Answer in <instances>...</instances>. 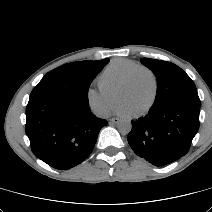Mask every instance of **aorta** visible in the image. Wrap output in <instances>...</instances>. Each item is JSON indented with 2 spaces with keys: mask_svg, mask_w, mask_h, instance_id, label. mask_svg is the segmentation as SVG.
Returning <instances> with one entry per match:
<instances>
[{
  "mask_svg": "<svg viewBox=\"0 0 212 212\" xmlns=\"http://www.w3.org/2000/svg\"><path fill=\"white\" fill-rule=\"evenodd\" d=\"M132 129V124L128 120H124L118 125V130L121 134H128Z\"/></svg>",
  "mask_w": 212,
  "mask_h": 212,
  "instance_id": "762f6f07",
  "label": "aorta"
}]
</instances>
